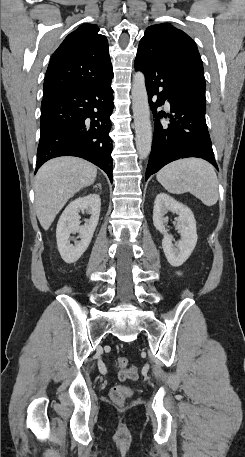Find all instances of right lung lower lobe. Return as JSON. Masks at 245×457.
<instances>
[{
	"label": "right lung lower lobe",
	"instance_id": "right-lung-lower-lobe-1",
	"mask_svg": "<svg viewBox=\"0 0 245 457\" xmlns=\"http://www.w3.org/2000/svg\"><path fill=\"white\" fill-rule=\"evenodd\" d=\"M112 77L76 84L43 98L35 173L49 159L78 156L99 166L112 182Z\"/></svg>",
	"mask_w": 245,
	"mask_h": 457
}]
</instances>
